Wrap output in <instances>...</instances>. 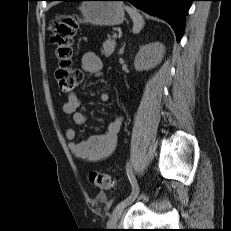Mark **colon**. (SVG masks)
I'll use <instances>...</instances> for the list:
<instances>
[{
    "label": "colon",
    "mask_w": 231,
    "mask_h": 231,
    "mask_svg": "<svg viewBox=\"0 0 231 231\" xmlns=\"http://www.w3.org/2000/svg\"><path fill=\"white\" fill-rule=\"evenodd\" d=\"M79 24L75 14H62L52 22L51 42L56 47L59 64L56 69V80L62 93L70 94L83 80V73L72 65L73 41ZM91 183L101 190L115 185V179L106 173L91 171Z\"/></svg>",
    "instance_id": "obj_1"
}]
</instances>
